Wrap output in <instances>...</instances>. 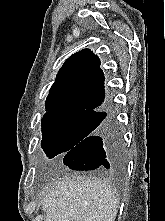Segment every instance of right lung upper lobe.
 Instances as JSON below:
<instances>
[{
  "label": "right lung upper lobe",
  "instance_id": "1",
  "mask_svg": "<svg viewBox=\"0 0 165 221\" xmlns=\"http://www.w3.org/2000/svg\"><path fill=\"white\" fill-rule=\"evenodd\" d=\"M104 98L100 60L84 49L69 57L59 70L46 99V111L97 112L95 109L104 107Z\"/></svg>",
  "mask_w": 165,
  "mask_h": 221
}]
</instances>
